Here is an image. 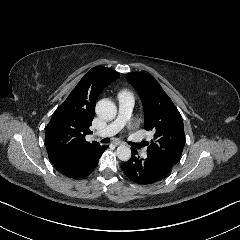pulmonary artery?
Segmentation results:
<instances>
[{
	"mask_svg": "<svg viewBox=\"0 0 240 240\" xmlns=\"http://www.w3.org/2000/svg\"><path fill=\"white\" fill-rule=\"evenodd\" d=\"M133 111L132 99L128 97H122L121 103L119 104V116L118 118L105 127L103 130L95 134L96 137H109L115 134L125 123V121L130 117Z\"/></svg>",
	"mask_w": 240,
	"mask_h": 240,
	"instance_id": "pulmonary-artery-1",
	"label": "pulmonary artery"
}]
</instances>
